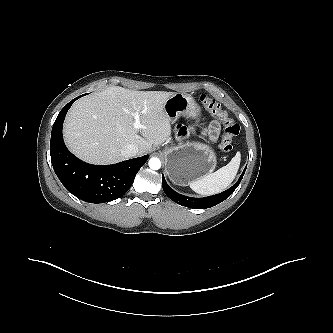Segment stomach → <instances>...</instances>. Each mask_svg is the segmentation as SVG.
<instances>
[{"label":"stomach","mask_w":333,"mask_h":333,"mask_svg":"<svg viewBox=\"0 0 333 333\" xmlns=\"http://www.w3.org/2000/svg\"><path fill=\"white\" fill-rule=\"evenodd\" d=\"M167 117L175 121L178 117L196 118L200 109L189 94L175 93L164 105ZM166 172L175 184L184 186L211 174L217 160L212 148L204 143L187 141L164 151Z\"/></svg>","instance_id":"0dacf381"}]
</instances>
